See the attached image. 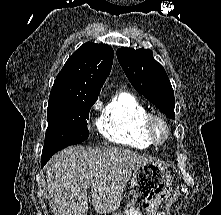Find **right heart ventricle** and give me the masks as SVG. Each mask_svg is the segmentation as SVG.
<instances>
[{"instance_id": "e07e8e85", "label": "right heart ventricle", "mask_w": 221, "mask_h": 215, "mask_svg": "<svg viewBox=\"0 0 221 215\" xmlns=\"http://www.w3.org/2000/svg\"><path fill=\"white\" fill-rule=\"evenodd\" d=\"M149 114L136 96L121 91L104 108L97 127L109 142L146 150L153 144L146 132Z\"/></svg>"}]
</instances>
